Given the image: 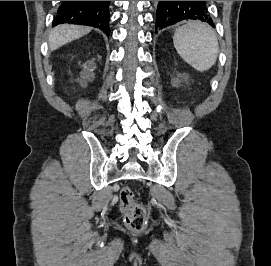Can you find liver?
<instances>
[{
	"mask_svg": "<svg viewBox=\"0 0 271 266\" xmlns=\"http://www.w3.org/2000/svg\"><path fill=\"white\" fill-rule=\"evenodd\" d=\"M91 31V28L78 25L63 24L56 26L50 33L49 46L54 51L64 44L76 40Z\"/></svg>",
	"mask_w": 271,
	"mask_h": 266,
	"instance_id": "1",
	"label": "liver"
}]
</instances>
